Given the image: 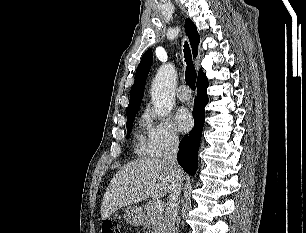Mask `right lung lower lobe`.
Wrapping results in <instances>:
<instances>
[{
    "label": "right lung lower lobe",
    "instance_id": "obj_1",
    "mask_svg": "<svg viewBox=\"0 0 306 233\" xmlns=\"http://www.w3.org/2000/svg\"><path fill=\"white\" fill-rule=\"evenodd\" d=\"M208 79L205 74L198 76L197 80V97L195 98L193 118L195 121L194 128L185 135L180 142L178 162L181 167L190 175H195L197 170V154L199 150L202 128L204 126L205 110L208 103L206 89Z\"/></svg>",
    "mask_w": 306,
    "mask_h": 233
}]
</instances>
